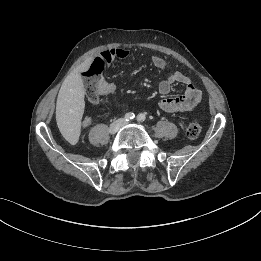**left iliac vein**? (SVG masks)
<instances>
[{
    "label": "left iliac vein",
    "instance_id": "obj_1",
    "mask_svg": "<svg viewBox=\"0 0 261 261\" xmlns=\"http://www.w3.org/2000/svg\"><path fill=\"white\" fill-rule=\"evenodd\" d=\"M128 123H124L123 126L127 125Z\"/></svg>",
    "mask_w": 261,
    "mask_h": 261
}]
</instances>
